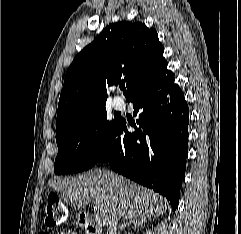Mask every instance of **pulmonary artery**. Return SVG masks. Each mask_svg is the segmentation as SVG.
Returning <instances> with one entry per match:
<instances>
[{
	"instance_id": "pulmonary-artery-1",
	"label": "pulmonary artery",
	"mask_w": 241,
	"mask_h": 234,
	"mask_svg": "<svg viewBox=\"0 0 241 234\" xmlns=\"http://www.w3.org/2000/svg\"><path fill=\"white\" fill-rule=\"evenodd\" d=\"M124 101L121 97H115L113 99V107L116 109V110H121L124 108Z\"/></svg>"
}]
</instances>
